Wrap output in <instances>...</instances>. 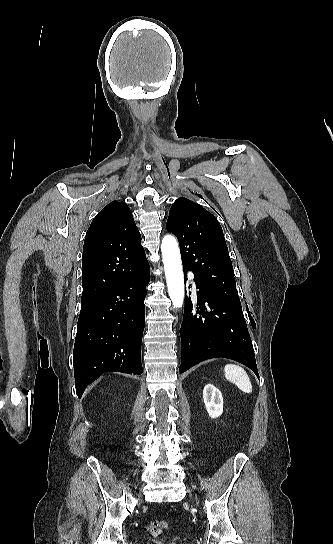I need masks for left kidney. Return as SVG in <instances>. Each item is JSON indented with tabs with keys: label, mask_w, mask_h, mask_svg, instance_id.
<instances>
[{
	"label": "left kidney",
	"mask_w": 333,
	"mask_h": 544,
	"mask_svg": "<svg viewBox=\"0 0 333 544\" xmlns=\"http://www.w3.org/2000/svg\"><path fill=\"white\" fill-rule=\"evenodd\" d=\"M203 401L207 413L211 418L221 416L223 412V397L219 389L212 384H207L203 390Z\"/></svg>",
	"instance_id": "1"
}]
</instances>
